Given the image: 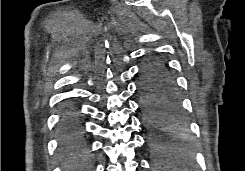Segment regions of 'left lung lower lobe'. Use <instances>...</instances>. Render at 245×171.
<instances>
[{"label":"left lung lower lobe","mask_w":245,"mask_h":171,"mask_svg":"<svg viewBox=\"0 0 245 171\" xmlns=\"http://www.w3.org/2000/svg\"><path fill=\"white\" fill-rule=\"evenodd\" d=\"M152 57L153 61H143L140 81L145 121L155 129L175 130L182 122L176 78L163 58L157 55ZM149 146L158 157V167H181V162H186L181 150L172 147L170 141L162 136H150Z\"/></svg>","instance_id":"1"}]
</instances>
